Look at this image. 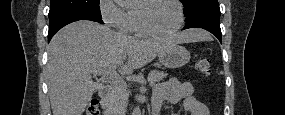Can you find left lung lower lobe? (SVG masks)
Instances as JSON below:
<instances>
[{
  "mask_svg": "<svg viewBox=\"0 0 285 115\" xmlns=\"http://www.w3.org/2000/svg\"><path fill=\"white\" fill-rule=\"evenodd\" d=\"M195 27L206 29L221 42L220 8L218 1L202 4L186 15L184 29Z\"/></svg>",
  "mask_w": 285,
  "mask_h": 115,
  "instance_id": "0a47b994",
  "label": "left lung lower lobe"
}]
</instances>
